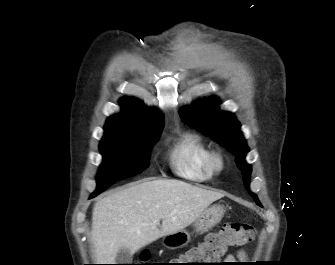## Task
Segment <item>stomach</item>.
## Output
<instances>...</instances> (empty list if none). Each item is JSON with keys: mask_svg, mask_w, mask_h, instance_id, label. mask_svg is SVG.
<instances>
[{"mask_svg": "<svg viewBox=\"0 0 335 265\" xmlns=\"http://www.w3.org/2000/svg\"><path fill=\"white\" fill-rule=\"evenodd\" d=\"M225 214L223 205L214 204L207 207L194 221L193 227L196 232L204 233L212 229L222 220ZM190 240V234L186 230H180L163 237V245L170 249L180 248Z\"/></svg>", "mask_w": 335, "mask_h": 265, "instance_id": "stomach-1", "label": "stomach"}]
</instances>
